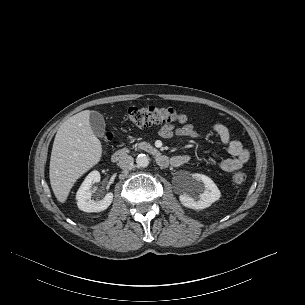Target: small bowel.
Segmentation results:
<instances>
[{"label":"small bowel","instance_id":"obj_1","mask_svg":"<svg viewBox=\"0 0 305 305\" xmlns=\"http://www.w3.org/2000/svg\"><path fill=\"white\" fill-rule=\"evenodd\" d=\"M213 131L218 136L220 142L226 146L232 158L225 159L221 162L220 168L225 172H234L239 170L246 164L250 158L249 151L238 140H232L228 128L221 124L216 123L212 127ZM162 138L170 139L173 137H190L200 138L201 133L191 124H185L177 127L175 124H163L159 131ZM191 156L187 154L176 155L171 158L173 166H181L188 163Z\"/></svg>","mask_w":305,"mask_h":305}]
</instances>
